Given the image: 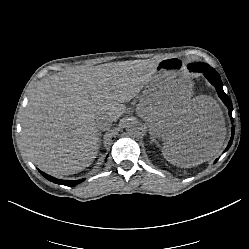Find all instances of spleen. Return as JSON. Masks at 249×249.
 <instances>
[{
	"label": "spleen",
	"mask_w": 249,
	"mask_h": 249,
	"mask_svg": "<svg viewBox=\"0 0 249 249\" xmlns=\"http://www.w3.org/2000/svg\"><path fill=\"white\" fill-rule=\"evenodd\" d=\"M170 150V148H168V146L163 148V155L167 158V159H173L175 160V158L173 157V155H168V151Z\"/></svg>",
	"instance_id": "spleen-1"
}]
</instances>
